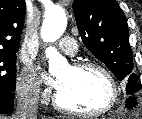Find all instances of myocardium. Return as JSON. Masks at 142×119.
Returning a JSON list of instances; mask_svg holds the SVG:
<instances>
[{
  "label": "myocardium",
  "mask_w": 142,
  "mask_h": 119,
  "mask_svg": "<svg viewBox=\"0 0 142 119\" xmlns=\"http://www.w3.org/2000/svg\"><path fill=\"white\" fill-rule=\"evenodd\" d=\"M70 67L76 71L95 69L101 72L107 79L108 84L110 86V97L106 105L98 110L80 111V110L73 109L64 105L60 100L59 92L56 91L53 97V104L58 110L71 115H76V116L99 117V116L107 114L116 106L119 100V87L115 77L106 66L94 61H79V62L73 63Z\"/></svg>",
  "instance_id": "f54148a6"
}]
</instances>
